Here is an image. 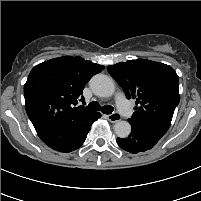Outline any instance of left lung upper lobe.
Segmentation results:
<instances>
[{
    "label": "left lung upper lobe",
    "instance_id": "obj_1",
    "mask_svg": "<svg viewBox=\"0 0 201 201\" xmlns=\"http://www.w3.org/2000/svg\"><path fill=\"white\" fill-rule=\"evenodd\" d=\"M128 98L136 99L129 123L170 127L175 107L180 100L179 79L169 65L146 59L129 60L107 67Z\"/></svg>",
    "mask_w": 201,
    "mask_h": 201
}]
</instances>
